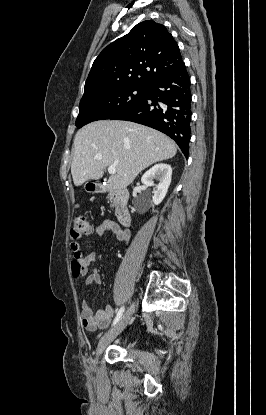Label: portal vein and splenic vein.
Here are the masks:
<instances>
[{
  "label": "portal vein and splenic vein",
  "instance_id": "1",
  "mask_svg": "<svg viewBox=\"0 0 266 415\" xmlns=\"http://www.w3.org/2000/svg\"><path fill=\"white\" fill-rule=\"evenodd\" d=\"M108 172H109V174L114 175V174H116V168L114 166H109L108 167Z\"/></svg>",
  "mask_w": 266,
  "mask_h": 415
}]
</instances>
